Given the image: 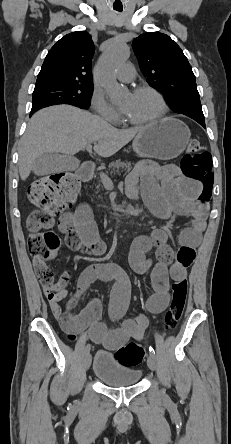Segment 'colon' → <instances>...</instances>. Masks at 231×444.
I'll use <instances>...</instances> for the list:
<instances>
[{
	"label": "colon",
	"mask_w": 231,
	"mask_h": 444,
	"mask_svg": "<svg viewBox=\"0 0 231 444\" xmlns=\"http://www.w3.org/2000/svg\"><path fill=\"white\" fill-rule=\"evenodd\" d=\"M181 170L187 178L204 186L199 196L200 201L202 203L209 201L213 182L212 160L210 153L197 140L189 143L181 161ZM79 187L78 179L72 174L65 173L40 178L29 187L28 198L40 209L32 212L27 221L28 248L34 261L41 263L58 255L59 238L53 232L45 230L53 226L57 215L72 206ZM37 275L43 289L53 293L64 287L69 279V274L64 273L55 282L53 272L48 267L42 268ZM187 291L186 278L176 279L173 282L172 300L163 319L164 332L173 331L180 321ZM144 354V348L136 342H130L115 352L119 361L128 366L141 363Z\"/></svg>",
	"instance_id": "colon-1"
}]
</instances>
